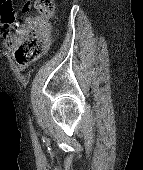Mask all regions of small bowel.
Here are the masks:
<instances>
[{"label": "small bowel", "mask_w": 143, "mask_h": 170, "mask_svg": "<svg viewBox=\"0 0 143 170\" xmlns=\"http://www.w3.org/2000/svg\"><path fill=\"white\" fill-rule=\"evenodd\" d=\"M31 8V2L30 0H27L23 5H22V10L24 12H27ZM26 27V24L22 22L19 26V28L14 32L12 24H4L2 26V32L3 35L7 39V44H8V49L11 51H14L17 46L19 45L22 33L24 28ZM28 67V64L26 63H20L16 62V68L19 71H23Z\"/></svg>", "instance_id": "c3829d8e"}]
</instances>
